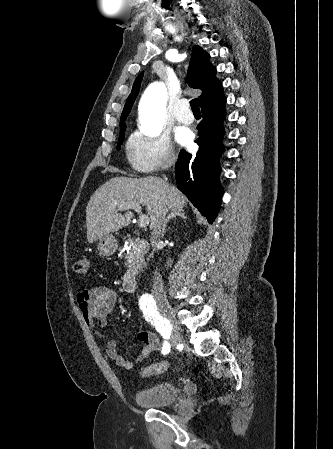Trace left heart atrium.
<instances>
[{"mask_svg": "<svg viewBox=\"0 0 333 449\" xmlns=\"http://www.w3.org/2000/svg\"><path fill=\"white\" fill-rule=\"evenodd\" d=\"M190 140H191V135L188 132H183L178 137V141L183 144L188 143Z\"/></svg>", "mask_w": 333, "mask_h": 449, "instance_id": "1", "label": "left heart atrium"}]
</instances>
